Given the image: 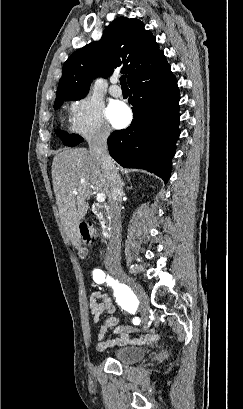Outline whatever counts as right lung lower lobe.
Listing matches in <instances>:
<instances>
[{
  "instance_id": "obj_1",
  "label": "right lung lower lobe",
  "mask_w": 243,
  "mask_h": 409,
  "mask_svg": "<svg viewBox=\"0 0 243 409\" xmlns=\"http://www.w3.org/2000/svg\"><path fill=\"white\" fill-rule=\"evenodd\" d=\"M129 87L134 119L108 138L110 155L123 167L146 169L167 183L180 134L177 80L169 65Z\"/></svg>"
}]
</instances>
